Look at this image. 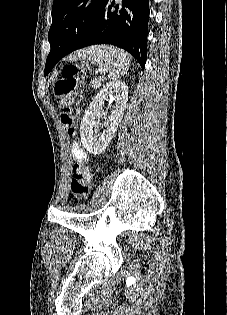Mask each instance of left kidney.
Instances as JSON below:
<instances>
[{"mask_svg": "<svg viewBox=\"0 0 227 315\" xmlns=\"http://www.w3.org/2000/svg\"><path fill=\"white\" fill-rule=\"evenodd\" d=\"M127 101L128 87L122 81L109 82L97 93L80 124L81 142L89 153L100 155L105 151L122 119ZM106 103L111 109V114L104 118L105 130L96 135L93 132V128L98 127L95 120L104 111Z\"/></svg>", "mask_w": 227, "mask_h": 315, "instance_id": "5707ae66", "label": "left kidney"}]
</instances>
